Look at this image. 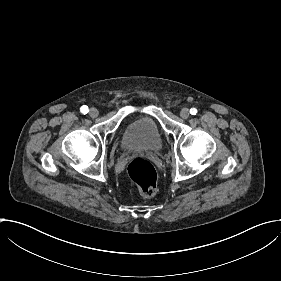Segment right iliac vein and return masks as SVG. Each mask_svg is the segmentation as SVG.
Instances as JSON below:
<instances>
[{
	"label": "right iliac vein",
	"instance_id": "right-iliac-vein-1",
	"mask_svg": "<svg viewBox=\"0 0 281 281\" xmlns=\"http://www.w3.org/2000/svg\"><path fill=\"white\" fill-rule=\"evenodd\" d=\"M98 113H99L98 110L95 109V108H92V109H90V111H89V114H90V116H92V117L97 116Z\"/></svg>",
	"mask_w": 281,
	"mask_h": 281
}]
</instances>
